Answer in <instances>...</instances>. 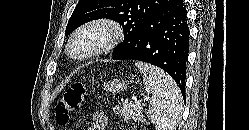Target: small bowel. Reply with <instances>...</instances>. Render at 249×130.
Returning <instances> with one entry per match:
<instances>
[{
    "instance_id": "small-bowel-1",
    "label": "small bowel",
    "mask_w": 249,
    "mask_h": 130,
    "mask_svg": "<svg viewBox=\"0 0 249 130\" xmlns=\"http://www.w3.org/2000/svg\"><path fill=\"white\" fill-rule=\"evenodd\" d=\"M106 126V115L100 111H96L92 115V120L87 130H105Z\"/></svg>"
}]
</instances>
